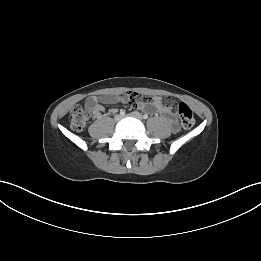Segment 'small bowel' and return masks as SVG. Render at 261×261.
Returning <instances> with one entry per match:
<instances>
[{"label":"small bowel","mask_w":261,"mask_h":261,"mask_svg":"<svg viewBox=\"0 0 261 261\" xmlns=\"http://www.w3.org/2000/svg\"><path fill=\"white\" fill-rule=\"evenodd\" d=\"M118 103H129L144 112L158 114L168 121L173 130L178 129L176 114L164 104L162 98L141 95L136 91L125 92L123 95L91 96L86 99L85 107L95 118H100L105 112L103 104Z\"/></svg>","instance_id":"1"}]
</instances>
